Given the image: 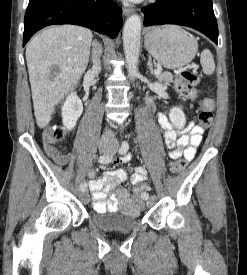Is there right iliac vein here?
Here are the masks:
<instances>
[{"mask_svg": "<svg viewBox=\"0 0 247 275\" xmlns=\"http://www.w3.org/2000/svg\"><path fill=\"white\" fill-rule=\"evenodd\" d=\"M99 150L103 154H109L111 151L110 147L104 142L100 143ZM80 198L84 204H87L90 201V197L87 191H83L80 195Z\"/></svg>", "mask_w": 247, "mask_h": 275, "instance_id": "obj_1", "label": "right iliac vein"}]
</instances>
